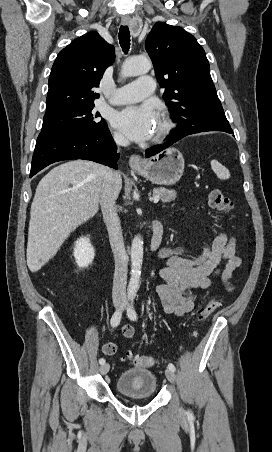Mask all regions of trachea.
I'll use <instances>...</instances> for the list:
<instances>
[{
	"instance_id": "trachea-1",
	"label": "trachea",
	"mask_w": 272,
	"mask_h": 452,
	"mask_svg": "<svg viewBox=\"0 0 272 452\" xmlns=\"http://www.w3.org/2000/svg\"><path fill=\"white\" fill-rule=\"evenodd\" d=\"M119 42L124 52L130 48V31L128 26H121L119 30Z\"/></svg>"
}]
</instances>
